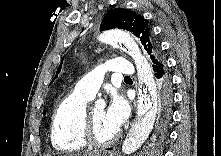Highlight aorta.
<instances>
[{"mask_svg":"<svg viewBox=\"0 0 221 156\" xmlns=\"http://www.w3.org/2000/svg\"><path fill=\"white\" fill-rule=\"evenodd\" d=\"M105 37L107 43L113 46L126 49L135 46L130 34L125 31L113 30L108 32ZM138 58L140 61V89L137 115L133 128L123 146L125 153L135 151L146 141L155 121L154 98L156 85L153 79L152 69L145 57L139 55Z\"/></svg>","mask_w":221,"mask_h":156,"instance_id":"obj_1","label":"aorta"}]
</instances>
